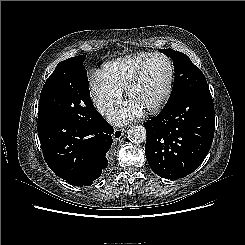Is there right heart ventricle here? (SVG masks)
<instances>
[{"label":"right heart ventricle","instance_id":"1","mask_svg":"<svg viewBox=\"0 0 245 245\" xmlns=\"http://www.w3.org/2000/svg\"><path fill=\"white\" fill-rule=\"evenodd\" d=\"M150 53H135L108 62L103 66L106 79L119 89H125L141 63Z\"/></svg>","mask_w":245,"mask_h":245}]
</instances>
